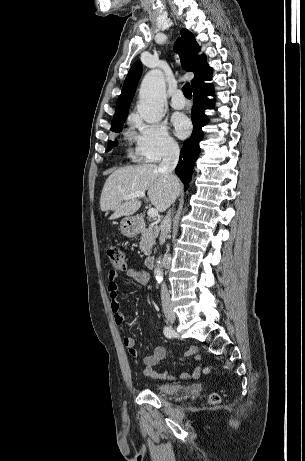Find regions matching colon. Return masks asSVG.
<instances>
[{"instance_id":"colon-1","label":"colon","mask_w":305,"mask_h":461,"mask_svg":"<svg viewBox=\"0 0 305 461\" xmlns=\"http://www.w3.org/2000/svg\"><path fill=\"white\" fill-rule=\"evenodd\" d=\"M106 254L114 272H124L127 270V261L125 252L116 244H109L106 248ZM204 374H209L211 368H203ZM220 400L217 394H212L209 398L211 404H216Z\"/></svg>"}]
</instances>
